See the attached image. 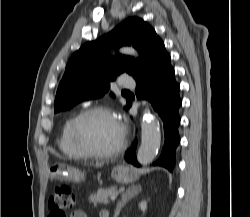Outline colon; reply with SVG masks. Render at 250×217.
<instances>
[{
    "instance_id": "5ec220e1",
    "label": "colon",
    "mask_w": 250,
    "mask_h": 217,
    "mask_svg": "<svg viewBox=\"0 0 250 217\" xmlns=\"http://www.w3.org/2000/svg\"><path fill=\"white\" fill-rule=\"evenodd\" d=\"M74 204L75 197L72 188L65 183L57 184L48 201V217H67Z\"/></svg>"
}]
</instances>
